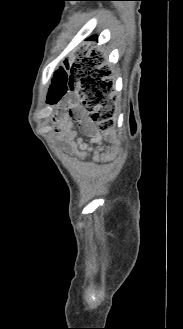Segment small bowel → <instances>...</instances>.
<instances>
[{"label": "small bowel", "mask_w": 183, "mask_h": 329, "mask_svg": "<svg viewBox=\"0 0 183 329\" xmlns=\"http://www.w3.org/2000/svg\"><path fill=\"white\" fill-rule=\"evenodd\" d=\"M76 117L81 123L83 130L90 136V141H86L83 138L76 139V131L73 127V120L68 119L64 122L62 127L67 149L75 152L80 157H83L85 153L90 152L94 159H102L104 153L101 147L100 136L95 125L82 111L77 113Z\"/></svg>", "instance_id": "small-bowel-1"}]
</instances>
